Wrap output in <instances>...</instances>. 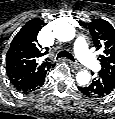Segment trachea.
Returning a JSON list of instances; mask_svg holds the SVG:
<instances>
[{
  "instance_id": "trachea-1",
  "label": "trachea",
  "mask_w": 115,
  "mask_h": 119,
  "mask_svg": "<svg viewBox=\"0 0 115 119\" xmlns=\"http://www.w3.org/2000/svg\"><path fill=\"white\" fill-rule=\"evenodd\" d=\"M64 57H66V58H68V59H70V60H72V61H75L74 57H73L69 52H67V51H65V50L60 51V52L58 53V55H57V59H59V58H64Z\"/></svg>"
}]
</instances>
